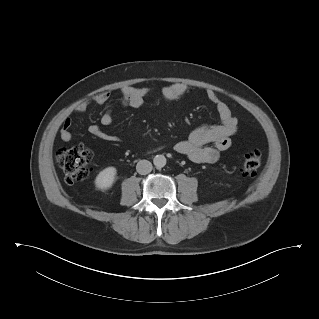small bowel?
Wrapping results in <instances>:
<instances>
[{"label":"small bowel","mask_w":319,"mask_h":319,"mask_svg":"<svg viewBox=\"0 0 319 319\" xmlns=\"http://www.w3.org/2000/svg\"><path fill=\"white\" fill-rule=\"evenodd\" d=\"M154 88L125 86L121 89L122 102L126 106L139 107L146 97L152 93ZM162 98L168 103H172L181 98L187 92V86L184 83L175 82L159 89ZM206 96L213 104L220 118L218 124H204L192 130L187 139L177 142L174 150L186 156L188 159L198 163H213L218 160L220 155L231 146V137L237 131L238 120L232 114L229 106L218 96L214 90H207ZM111 98L107 91L99 92L92 97V102L97 105L106 104ZM89 101L80 102L75 110L77 113L86 112ZM113 122V112L106 110L100 117L102 126H109ZM72 120L66 118L60 129V138L64 142L72 140L71 132ZM88 132L107 142H118L116 135L110 134L102 129L98 124H92L88 127Z\"/></svg>","instance_id":"small-bowel-1"}]
</instances>
